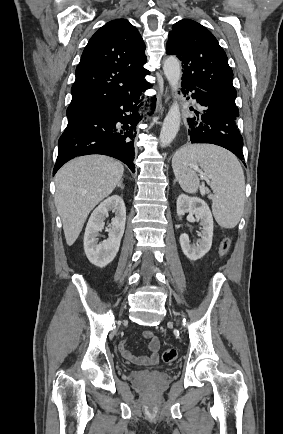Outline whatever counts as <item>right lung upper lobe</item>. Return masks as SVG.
Masks as SVG:
<instances>
[{"instance_id": "cb5924a9", "label": "right lung upper lobe", "mask_w": 283, "mask_h": 434, "mask_svg": "<svg viewBox=\"0 0 283 434\" xmlns=\"http://www.w3.org/2000/svg\"><path fill=\"white\" fill-rule=\"evenodd\" d=\"M145 44L127 20H112L89 40L76 68L67 117L97 108L135 90L149 71Z\"/></svg>"}]
</instances>
